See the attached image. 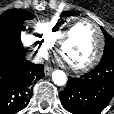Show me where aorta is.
<instances>
[{"mask_svg": "<svg viewBox=\"0 0 114 114\" xmlns=\"http://www.w3.org/2000/svg\"><path fill=\"white\" fill-rule=\"evenodd\" d=\"M52 80L58 86L65 85L67 83L66 74L61 70H55L52 73Z\"/></svg>", "mask_w": 114, "mask_h": 114, "instance_id": "obj_1", "label": "aorta"}]
</instances>
